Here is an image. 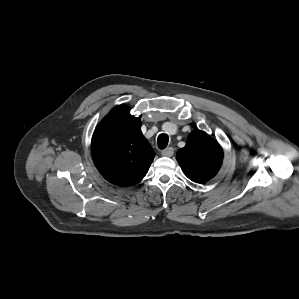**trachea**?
<instances>
[{
  "label": "trachea",
  "instance_id": "obj_1",
  "mask_svg": "<svg viewBox=\"0 0 299 299\" xmlns=\"http://www.w3.org/2000/svg\"><path fill=\"white\" fill-rule=\"evenodd\" d=\"M169 137L167 134H160L158 136V148L165 149L168 145Z\"/></svg>",
  "mask_w": 299,
  "mask_h": 299
}]
</instances>
